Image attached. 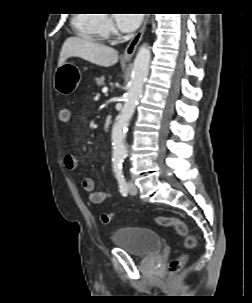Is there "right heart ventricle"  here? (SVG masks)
Masks as SVG:
<instances>
[{
	"mask_svg": "<svg viewBox=\"0 0 252 303\" xmlns=\"http://www.w3.org/2000/svg\"><path fill=\"white\" fill-rule=\"evenodd\" d=\"M104 18L105 16L102 14H78L73 19V23L82 35L103 39L105 35Z\"/></svg>",
	"mask_w": 252,
	"mask_h": 303,
	"instance_id": "obj_1",
	"label": "right heart ventricle"
}]
</instances>
